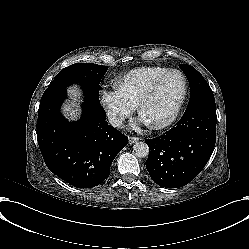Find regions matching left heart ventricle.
<instances>
[{
  "label": "left heart ventricle",
  "instance_id": "left-heart-ventricle-1",
  "mask_svg": "<svg viewBox=\"0 0 249 249\" xmlns=\"http://www.w3.org/2000/svg\"><path fill=\"white\" fill-rule=\"evenodd\" d=\"M181 82L174 76L144 108V117L151 122H162L170 117L181 94Z\"/></svg>",
  "mask_w": 249,
  "mask_h": 249
}]
</instances>
